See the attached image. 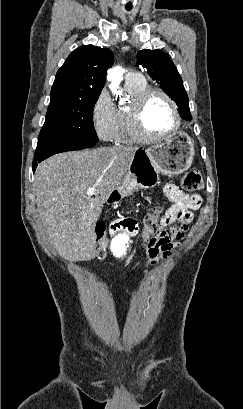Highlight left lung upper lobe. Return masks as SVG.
<instances>
[{"mask_svg":"<svg viewBox=\"0 0 243 409\" xmlns=\"http://www.w3.org/2000/svg\"><path fill=\"white\" fill-rule=\"evenodd\" d=\"M137 66L142 65L148 74L156 80L177 104L181 116L191 120L188 96L182 78L172 60L161 50L143 49L138 52Z\"/></svg>","mask_w":243,"mask_h":409,"instance_id":"obj_1","label":"left lung upper lobe"}]
</instances>
